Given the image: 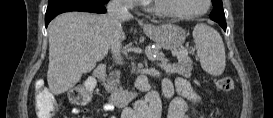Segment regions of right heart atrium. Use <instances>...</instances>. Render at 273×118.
Wrapping results in <instances>:
<instances>
[{
    "instance_id": "obj_1",
    "label": "right heart atrium",
    "mask_w": 273,
    "mask_h": 118,
    "mask_svg": "<svg viewBox=\"0 0 273 118\" xmlns=\"http://www.w3.org/2000/svg\"><path fill=\"white\" fill-rule=\"evenodd\" d=\"M123 8L125 9H133L137 6V0H120L119 1Z\"/></svg>"
}]
</instances>
